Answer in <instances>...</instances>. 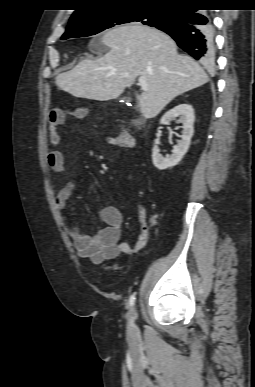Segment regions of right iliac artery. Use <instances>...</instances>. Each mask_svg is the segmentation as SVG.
<instances>
[{"label":"right iliac artery","mask_w":255,"mask_h":387,"mask_svg":"<svg viewBox=\"0 0 255 387\" xmlns=\"http://www.w3.org/2000/svg\"><path fill=\"white\" fill-rule=\"evenodd\" d=\"M135 303V296L134 295H131L130 296V299H129V305L132 307Z\"/></svg>","instance_id":"82829eb1"}]
</instances>
